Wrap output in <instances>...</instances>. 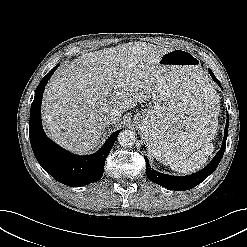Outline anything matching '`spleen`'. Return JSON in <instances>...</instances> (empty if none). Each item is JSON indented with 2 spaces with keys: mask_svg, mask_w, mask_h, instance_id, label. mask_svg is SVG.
Returning <instances> with one entry per match:
<instances>
[{
  "mask_svg": "<svg viewBox=\"0 0 247 247\" xmlns=\"http://www.w3.org/2000/svg\"><path fill=\"white\" fill-rule=\"evenodd\" d=\"M219 98V97H218ZM219 102V100H218ZM215 131V130H214ZM214 151V145L207 143L201 150L193 153L187 160H180L170 165L171 169L183 174H189L201 169L208 161L209 156Z\"/></svg>",
  "mask_w": 247,
  "mask_h": 247,
  "instance_id": "spleen-1",
  "label": "spleen"
}]
</instances>
